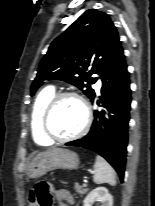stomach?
<instances>
[{
    "mask_svg": "<svg viewBox=\"0 0 155 206\" xmlns=\"http://www.w3.org/2000/svg\"><path fill=\"white\" fill-rule=\"evenodd\" d=\"M79 164V157L75 152L63 148L50 149L39 153L33 159L27 170V176L36 179L56 169H78Z\"/></svg>",
    "mask_w": 155,
    "mask_h": 206,
    "instance_id": "0dacf381",
    "label": "stomach"
}]
</instances>
